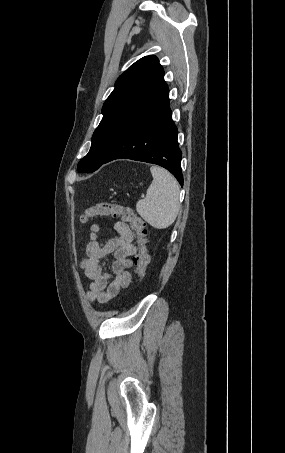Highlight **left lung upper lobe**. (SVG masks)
<instances>
[{"label": "left lung upper lobe", "mask_w": 285, "mask_h": 453, "mask_svg": "<svg viewBox=\"0 0 285 453\" xmlns=\"http://www.w3.org/2000/svg\"><path fill=\"white\" fill-rule=\"evenodd\" d=\"M164 70L155 56L132 64L116 81L105 101L103 118L94 131L88 154L77 165L79 172H93L105 161L125 130L165 85Z\"/></svg>", "instance_id": "1"}]
</instances>
